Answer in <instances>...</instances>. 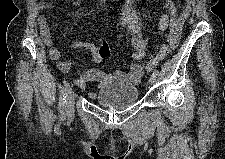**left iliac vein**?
Returning a JSON list of instances; mask_svg holds the SVG:
<instances>
[{
	"label": "left iliac vein",
	"instance_id": "1",
	"mask_svg": "<svg viewBox=\"0 0 225 159\" xmlns=\"http://www.w3.org/2000/svg\"><path fill=\"white\" fill-rule=\"evenodd\" d=\"M157 77L156 75L152 74L150 79H149V84L154 85L156 83Z\"/></svg>",
	"mask_w": 225,
	"mask_h": 159
}]
</instances>
